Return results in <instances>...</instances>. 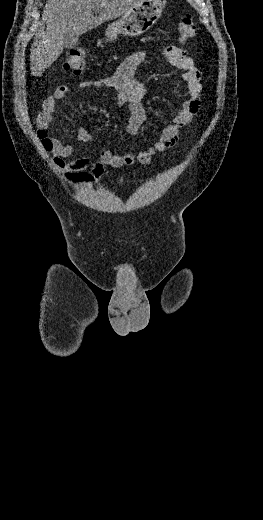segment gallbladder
Returning a JSON list of instances; mask_svg holds the SVG:
<instances>
[{"label":"gallbladder","mask_w":263,"mask_h":520,"mask_svg":"<svg viewBox=\"0 0 263 520\" xmlns=\"http://www.w3.org/2000/svg\"><path fill=\"white\" fill-rule=\"evenodd\" d=\"M64 47L72 49L78 44V36L75 34L68 33L64 36Z\"/></svg>","instance_id":"obj_1"}]
</instances>
